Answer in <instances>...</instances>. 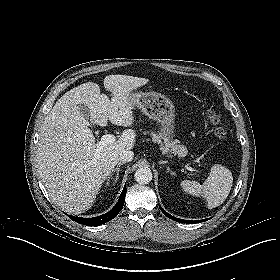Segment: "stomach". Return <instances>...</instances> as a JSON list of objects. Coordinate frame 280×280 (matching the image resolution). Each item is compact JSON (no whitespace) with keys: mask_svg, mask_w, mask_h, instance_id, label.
I'll return each instance as SVG.
<instances>
[{"mask_svg":"<svg viewBox=\"0 0 280 280\" xmlns=\"http://www.w3.org/2000/svg\"><path fill=\"white\" fill-rule=\"evenodd\" d=\"M134 106L150 119L160 124L161 139L170 141L175 133V107L166 96L157 92H135L130 94Z\"/></svg>","mask_w":280,"mask_h":280,"instance_id":"0dacf381","label":"stomach"}]
</instances>
